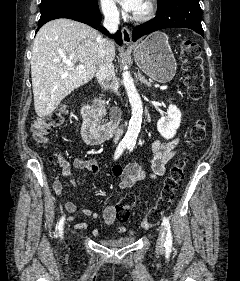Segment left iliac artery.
Returning a JSON list of instances; mask_svg holds the SVG:
<instances>
[{
  "label": "left iliac artery",
  "mask_w": 240,
  "mask_h": 281,
  "mask_svg": "<svg viewBox=\"0 0 240 281\" xmlns=\"http://www.w3.org/2000/svg\"><path fill=\"white\" fill-rule=\"evenodd\" d=\"M135 143L128 144V149L132 151L134 149ZM163 224L166 227L167 235H166V241H165V248L167 251L171 250L172 247V233L170 229V221L168 217L163 218Z\"/></svg>",
  "instance_id": "44dca946"
}]
</instances>
